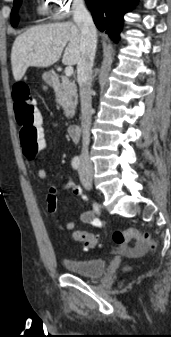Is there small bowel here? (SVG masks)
<instances>
[{
	"mask_svg": "<svg viewBox=\"0 0 171 337\" xmlns=\"http://www.w3.org/2000/svg\"><path fill=\"white\" fill-rule=\"evenodd\" d=\"M46 138V144L49 139V137ZM37 175L41 180H45L47 178V170L44 167H40L37 171ZM66 190L71 191L73 195L81 198L83 201L87 200L86 195L84 194L81 187L74 184L72 181H66L62 183L60 186H51L47 195V211L50 214V216L53 218V220L58 224L59 228L62 231L70 232L73 231L76 223L74 221H70L67 223H61L56 218V211H57V198L56 193L57 191ZM80 221L95 227H100L102 222L98 218L97 214L93 210H86L80 214L79 217Z\"/></svg>",
	"mask_w": 171,
	"mask_h": 337,
	"instance_id": "obj_1",
	"label": "small bowel"
}]
</instances>
